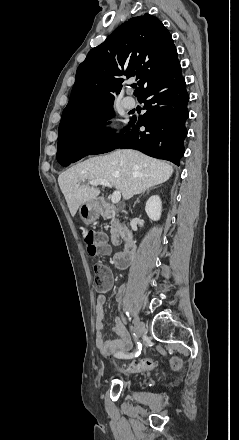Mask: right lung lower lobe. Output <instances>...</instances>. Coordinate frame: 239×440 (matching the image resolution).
I'll return each instance as SVG.
<instances>
[{
  "mask_svg": "<svg viewBox=\"0 0 239 440\" xmlns=\"http://www.w3.org/2000/svg\"><path fill=\"white\" fill-rule=\"evenodd\" d=\"M137 97L144 102L147 112L130 119L131 132L127 131L126 136L120 138L110 134L93 145L62 147L57 152L58 162L67 166L87 155L101 154L115 148H132L179 165L184 155L183 140L187 136L185 121L188 118L189 100L180 62L167 74L150 83ZM141 126L145 127L144 132L139 131Z\"/></svg>",
  "mask_w": 239,
  "mask_h": 440,
  "instance_id": "obj_1",
  "label": "right lung lower lobe"
}]
</instances>
